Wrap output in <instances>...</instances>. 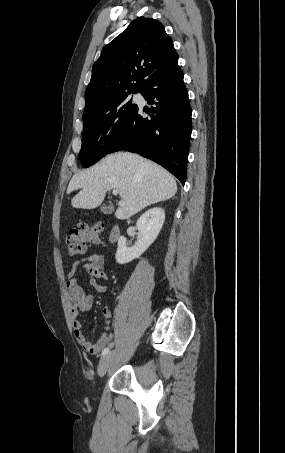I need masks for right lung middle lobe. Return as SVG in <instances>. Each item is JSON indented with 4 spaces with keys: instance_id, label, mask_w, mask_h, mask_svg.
Wrapping results in <instances>:
<instances>
[{
    "instance_id": "right-lung-middle-lobe-1",
    "label": "right lung middle lobe",
    "mask_w": 285,
    "mask_h": 453,
    "mask_svg": "<svg viewBox=\"0 0 285 453\" xmlns=\"http://www.w3.org/2000/svg\"><path fill=\"white\" fill-rule=\"evenodd\" d=\"M129 94L112 98L83 113L82 147L79 153L83 167H89L110 153L138 110Z\"/></svg>"
}]
</instances>
